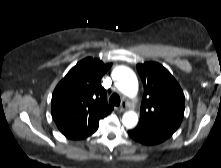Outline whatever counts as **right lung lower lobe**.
Listing matches in <instances>:
<instances>
[{
  "instance_id": "1",
  "label": "right lung lower lobe",
  "mask_w": 221,
  "mask_h": 168,
  "mask_svg": "<svg viewBox=\"0 0 221 168\" xmlns=\"http://www.w3.org/2000/svg\"><path fill=\"white\" fill-rule=\"evenodd\" d=\"M91 135V134H90ZM89 136V135H88ZM85 137H87V136H85ZM85 137H82V138H85ZM82 138H77V139H82Z\"/></svg>"
}]
</instances>
